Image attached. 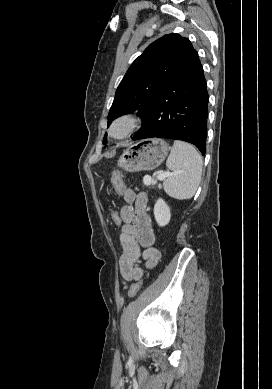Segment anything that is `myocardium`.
Masks as SVG:
<instances>
[{"mask_svg":"<svg viewBox=\"0 0 272 389\" xmlns=\"http://www.w3.org/2000/svg\"><path fill=\"white\" fill-rule=\"evenodd\" d=\"M142 125L141 117L135 112L118 115L108 128V135L113 140H124L133 135Z\"/></svg>","mask_w":272,"mask_h":389,"instance_id":"1","label":"myocardium"}]
</instances>
